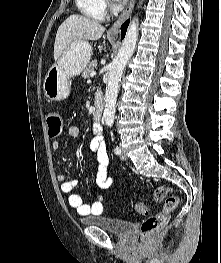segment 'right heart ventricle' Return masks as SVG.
I'll use <instances>...</instances> for the list:
<instances>
[{
  "label": "right heart ventricle",
  "instance_id": "e07e8e85",
  "mask_svg": "<svg viewBox=\"0 0 221 263\" xmlns=\"http://www.w3.org/2000/svg\"><path fill=\"white\" fill-rule=\"evenodd\" d=\"M79 11L86 17L102 21L106 15L104 0H76Z\"/></svg>",
  "mask_w": 221,
  "mask_h": 263
}]
</instances>
